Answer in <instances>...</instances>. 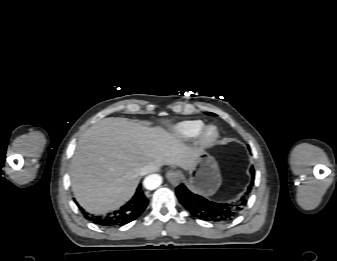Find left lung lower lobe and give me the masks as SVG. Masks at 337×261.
Instances as JSON below:
<instances>
[{"mask_svg": "<svg viewBox=\"0 0 337 261\" xmlns=\"http://www.w3.org/2000/svg\"><path fill=\"white\" fill-rule=\"evenodd\" d=\"M250 173L252 181L243 196L236 202L216 203L208 201L202 196L193 194L184 185H179L176 188V194L180 203L192 216L205 221L227 222L237 217L247 204L254 184L255 171L253 167H251Z\"/></svg>", "mask_w": 337, "mask_h": 261, "instance_id": "left-lung-lower-lobe-1", "label": "left lung lower lobe"}]
</instances>
